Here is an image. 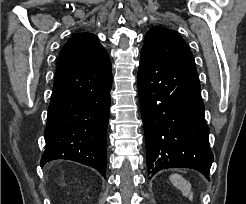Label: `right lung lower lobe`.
<instances>
[{
	"mask_svg": "<svg viewBox=\"0 0 246 204\" xmlns=\"http://www.w3.org/2000/svg\"><path fill=\"white\" fill-rule=\"evenodd\" d=\"M111 86V66L56 72L41 167L67 159L91 166L105 177Z\"/></svg>",
	"mask_w": 246,
	"mask_h": 204,
	"instance_id": "obj_1",
	"label": "right lung lower lobe"
}]
</instances>
